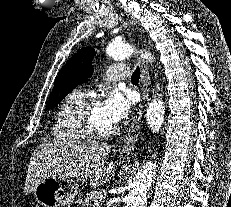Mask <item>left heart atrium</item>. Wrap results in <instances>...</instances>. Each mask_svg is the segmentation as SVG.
I'll return each mask as SVG.
<instances>
[{
	"instance_id": "39dd6f15",
	"label": "left heart atrium",
	"mask_w": 231,
	"mask_h": 207,
	"mask_svg": "<svg viewBox=\"0 0 231 207\" xmlns=\"http://www.w3.org/2000/svg\"><path fill=\"white\" fill-rule=\"evenodd\" d=\"M131 106V95L119 91L110 92L102 102L105 115L115 125L127 117Z\"/></svg>"
}]
</instances>
